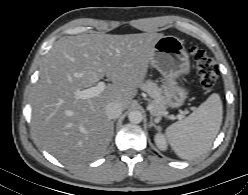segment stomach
<instances>
[{
  "mask_svg": "<svg viewBox=\"0 0 248 195\" xmlns=\"http://www.w3.org/2000/svg\"><path fill=\"white\" fill-rule=\"evenodd\" d=\"M150 64L164 78L163 96L167 107H181L188 97V90L179 85L177 79L190 72L189 56L183 42L175 36H163L154 45Z\"/></svg>",
  "mask_w": 248,
  "mask_h": 195,
  "instance_id": "0dacf381",
  "label": "stomach"
}]
</instances>
